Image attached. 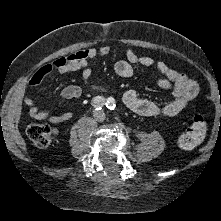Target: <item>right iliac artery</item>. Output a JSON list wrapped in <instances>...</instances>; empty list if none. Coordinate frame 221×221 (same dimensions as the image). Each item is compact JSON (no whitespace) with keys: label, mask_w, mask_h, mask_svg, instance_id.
Returning a JSON list of instances; mask_svg holds the SVG:
<instances>
[{"label":"right iliac artery","mask_w":221,"mask_h":221,"mask_svg":"<svg viewBox=\"0 0 221 221\" xmlns=\"http://www.w3.org/2000/svg\"><path fill=\"white\" fill-rule=\"evenodd\" d=\"M105 105H107V102L102 96H96L92 100V106L95 110H101Z\"/></svg>","instance_id":"82829eb1"}]
</instances>
